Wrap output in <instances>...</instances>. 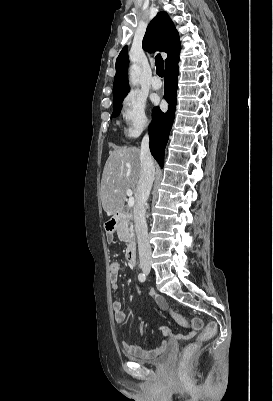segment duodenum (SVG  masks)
<instances>
[{"label": "duodenum", "instance_id": "1", "mask_svg": "<svg viewBox=\"0 0 273 401\" xmlns=\"http://www.w3.org/2000/svg\"><path fill=\"white\" fill-rule=\"evenodd\" d=\"M129 218V215L126 213H118L113 216L106 224V230L109 234H112L118 225V223L122 220ZM137 257V248L135 242H130L127 250H126V259L130 265L136 264Z\"/></svg>", "mask_w": 273, "mask_h": 401}]
</instances>
